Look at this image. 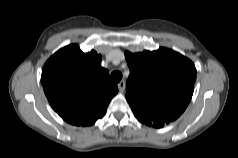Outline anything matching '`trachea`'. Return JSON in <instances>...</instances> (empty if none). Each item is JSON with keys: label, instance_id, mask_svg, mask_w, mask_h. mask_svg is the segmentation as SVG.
<instances>
[{"label": "trachea", "instance_id": "obj_1", "mask_svg": "<svg viewBox=\"0 0 238 158\" xmlns=\"http://www.w3.org/2000/svg\"><path fill=\"white\" fill-rule=\"evenodd\" d=\"M111 79L114 83H118L120 82V80L122 79V73L119 71H114L111 73Z\"/></svg>", "mask_w": 238, "mask_h": 158}]
</instances>
